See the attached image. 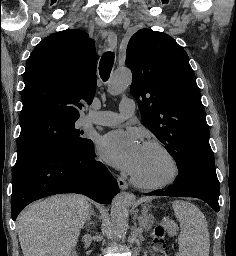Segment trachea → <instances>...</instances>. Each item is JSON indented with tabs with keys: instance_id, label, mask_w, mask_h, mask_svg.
I'll list each match as a JSON object with an SVG mask.
<instances>
[{
	"instance_id": "trachea-1",
	"label": "trachea",
	"mask_w": 236,
	"mask_h": 256,
	"mask_svg": "<svg viewBox=\"0 0 236 256\" xmlns=\"http://www.w3.org/2000/svg\"><path fill=\"white\" fill-rule=\"evenodd\" d=\"M114 63V53L106 52L99 63V73L103 81H107Z\"/></svg>"
}]
</instances>
